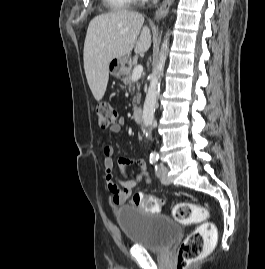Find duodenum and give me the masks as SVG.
<instances>
[{"label": "duodenum", "mask_w": 265, "mask_h": 269, "mask_svg": "<svg viewBox=\"0 0 265 269\" xmlns=\"http://www.w3.org/2000/svg\"><path fill=\"white\" fill-rule=\"evenodd\" d=\"M133 119L135 122L140 123L143 119V109L142 108H136L133 111Z\"/></svg>", "instance_id": "duodenum-1"}]
</instances>
